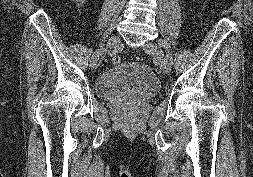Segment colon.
Instances as JSON below:
<instances>
[{"label": "colon", "mask_w": 253, "mask_h": 177, "mask_svg": "<svg viewBox=\"0 0 253 177\" xmlns=\"http://www.w3.org/2000/svg\"><path fill=\"white\" fill-rule=\"evenodd\" d=\"M112 63H113L114 65L120 64V63H121L120 57H117V56L113 57V58H112Z\"/></svg>", "instance_id": "colon-1"}]
</instances>
